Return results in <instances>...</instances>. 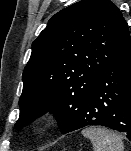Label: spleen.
I'll return each mask as SVG.
<instances>
[{
	"mask_svg": "<svg viewBox=\"0 0 131 151\" xmlns=\"http://www.w3.org/2000/svg\"><path fill=\"white\" fill-rule=\"evenodd\" d=\"M82 135L91 141L94 151H124L121 138L105 128L90 127L84 129Z\"/></svg>",
	"mask_w": 131,
	"mask_h": 151,
	"instance_id": "obj_1",
	"label": "spleen"
}]
</instances>
